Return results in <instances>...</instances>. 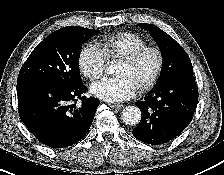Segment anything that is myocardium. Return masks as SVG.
<instances>
[{
  "label": "myocardium",
  "instance_id": "1",
  "mask_svg": "<svg viewBox=\"0 0 224 175\" xmlns=\"http://www.w3.org/2000/svg\"><path fill=\"white\" fill-rule=\"evenodd\" d=\"M148 53H153L156 56L157 62H156L155 70L153 74L151 75V77L146 82H144L143 84L137 87V90L141 92L151 89L158 82L162 74L164 63H165V58H164V54L162 50L156 46L146 45L138 49L131 55L121 59L122 63L132 67V66H135Z\"/></svg>",
  "mask_w": 224,
  "mask_h": 175
}]
</instances>
